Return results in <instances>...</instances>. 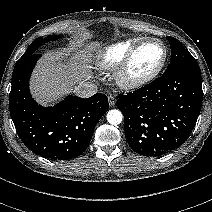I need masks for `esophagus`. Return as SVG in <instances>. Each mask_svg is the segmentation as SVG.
Here are the masks:
<instances>
[{
	"mask_svg": "<svg viewBox=\"0 0 212 212\" xmlns=\"http://www.w3.org/2000/svg\"><path fill=\"white\" fill-rule=\"evenodd\" d=\"M108 101H109L110 106H114L115 103H116V99H115V97L112 96V95H110V96L108 97Z\"/></svg>",
	"mask_w": 212,
	"mask_h": 212,
	"instance_id": "34e87169",
	"label": "esophagus"
}]
</instances>
